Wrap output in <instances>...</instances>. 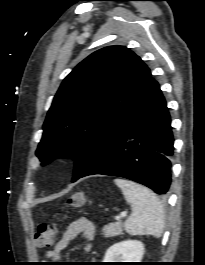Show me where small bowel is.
<instances>
[{"label":"small bowel","mask_w":205,"mask_h":265,"mask_svg":"<svg viewBox=\"0 0 205 265\" xmlns=\"http://www.w3.org/2000/svg\"><path fill=\"white\" fill-rule=\"evenodd\" d=\"M81 236L86 241L84 251L91 250V242L95 236V227L93 223L86 218H79L71 222L66 228L62 238L55 244V246L46 252L45 258L48 261H57L60 259L61 253L66 249L68 244L75 238Z\"/></svg>","instance_id":"c3829d8e"}]
</instances>
